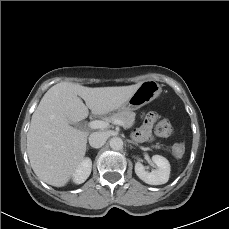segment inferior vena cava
<instances>
[{
  "instance_id": "602c4592",
  "label": "inferior vena cava",
  "mask_w": 229,
  "mask_h": 229,
  "mask_svg": "<svg viewBox=\"0 0 229 229\" xmlns=\"http://www.w3.org/2000/svg\"><path fill=\"white\" fill-rule=\"evenodd\" d=\"M106 142V136L100 132H94L89 136V144L93 148H100Z\"/></svg>"
}]
</instances>
